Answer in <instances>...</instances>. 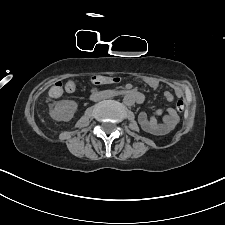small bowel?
<instances>
[{
  "label": "small bowel",
  "mask_w": 225,
  "mask_h": 225,
  "mask_svg": "<svg viewBox=\"0 0 225 225\" xmlns=\"http://www.w3.org/2000/svg\"><path fill=\"white\" fill-rule=\"evenodd\" d=\"M148 85L154 90L158 89L160 86L159 82L155 80L150 81ZM175 95L181 97L182 90L177 88L175 90ZM164 97L169 102L174 99V95L168 90L164 91ZM159 118H161V121H159ZM138 120L145 131L154 135H165L177 126L179 116L174 109L169 108L166 110H157L152 114L141 112Z\"/></svg>",
  "instance_id": "obj_1"
}]
</instances>
